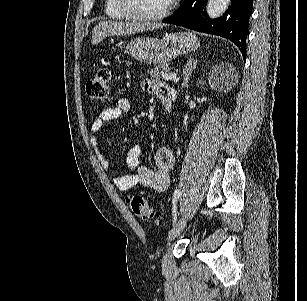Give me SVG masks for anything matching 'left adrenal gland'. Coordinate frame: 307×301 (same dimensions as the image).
Here are the masks:
<instances>
[{"mask_svg":"<svg viewBox=\"0 0 307 301\" xmlns=\"http://www.w3.org/2000/svg\"><path fill=\"white\" fill-rule=\"evenodd\" d=\"M197 60L196 58H189L187 60L182 72H183V82L184 86H188L189 74H191L193 68H196Z\"/></svg>","mask_w":307,"mask_h":301,"instance_id":"left-adrenal-gland-1","label":"left adrenal gland"}]
</instances>
